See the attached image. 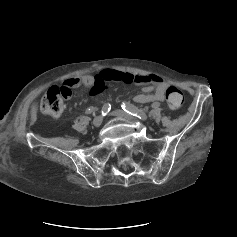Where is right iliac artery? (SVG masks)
Listing matches in <instances>:
<instances>
[{
    "instance_id": "right-iliac-artery-1",
    "label": "right iliac artery",
    "mask_w": 237,
    "mask_h": 237,
    "mask_svg": "<svg viewBox=\"0 0 237 237\" xmlns=\"http://www.w3.org/2000/svg\"><path fill=\"white\" fill-rule=\"evenodd\" d=\"M110 109H111V105L109 103L104 104L101 109V115L106 116L109 113Z\"/></svg>"
}]
</instances>
